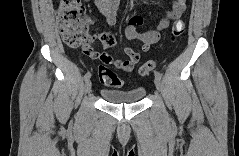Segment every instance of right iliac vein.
I'll return each instance as SVG.
<instances>
[{
    "mask_svg": "<svg viewBox=\"0 0 239 156\" xmlns=\"http://www.w3.org/2000/svg\"><path fill=\"white\" fill-rule=\"evenodd\" d=\"M91 88H92V83L90 80H87L84 85V92L89 93L91 91Z\"/></svg>",
    "mask_w": 239,
    "mask_h": 156,
    "instance_id": "obj_1",
    "label": "right iliac vein"
}]
</instances>
